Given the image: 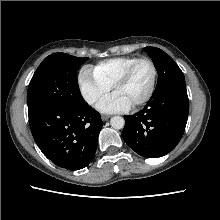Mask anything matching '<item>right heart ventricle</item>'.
Returning a JSON list of instances; mask_svg holds the SVG:
<instances>
[{
	"instance_id": "1",
	"label": "right heart ventricle",
	"mask_w": 220,
	"mask_h": 220,
	"mask_svg": "<svg viewBox=\"0 0 220 220\" xmlns=\"http://www.w3.org/2000/svg\"><path fill=\"white\" fill-rule=\"evenodd\" d=\"M138 59L136 56H120L99 62L93 67L94 74L105 84L113 87L124 71Z\"/></svg>"
}]
</instances>
